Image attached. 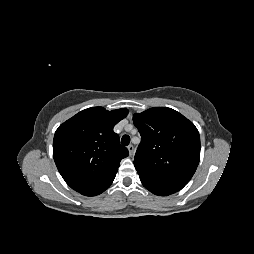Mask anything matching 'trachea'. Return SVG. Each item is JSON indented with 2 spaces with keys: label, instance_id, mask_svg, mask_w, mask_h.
Listing matches in <instances>:
<instances>
[{
  "label": "trachea",
  "instance_id": "1",
  "mask_svg": "<svg viewBox=\"0 0 254 254\" xmlns=\"http://www.w3.org/2000/svg\"><path fill=\"white\" fill-rule=\"evenodd\" d=\"M121 143H122L124 146H127V145L130 143V137H129L128 135L122 136V138H121Z\"/></svg>",
  "mask_w": 254,
  "mask_h": 254
}]
</instances>
